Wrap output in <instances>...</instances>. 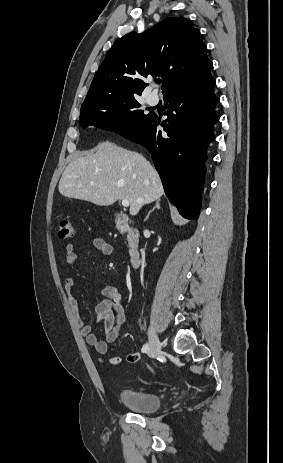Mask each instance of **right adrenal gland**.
Here are the masks:
<instances>
[{"label": "right adrenal gland", "mask_w": 283, "mask_h": 463, "mask_svg": "<svg viewBox=\"0 0 283 463\" xmlns=\"http://www.w3.org/2000/svg\"><path fill=\"white\" fill-rule=\"evenodd\" d=\"M160 208H161V207H160V199H158V200L156 201L155 206L153 207V209L150 210V211L148 212V214H147L145 220H147V219L149 218L150 213H151L152 211H154L155 209H160Z\"/></svg>", "instance_id": "right-adrenal-gland-1"}]
</instances>
